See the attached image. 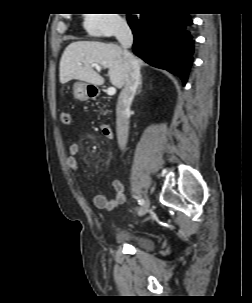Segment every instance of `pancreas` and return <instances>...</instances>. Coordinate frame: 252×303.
Returning <instances> with one entry per match:
<instances>
[{
  "mask_svg": "<svg viewBox=\"0 0 252 303\" xmlns=\"http://www.w3.org/2000/svg\"><path fill=\"white\" fill-rule=\"evenodd\" d=\"M107 112H108V111H104V113H103V114L105 115Z\"/></svg>",
  "mask_w": 252,
  "mask_h": 303,
  "instance_id": "pancreas-1",
  "label": "pancreas"
}]
</instances>
